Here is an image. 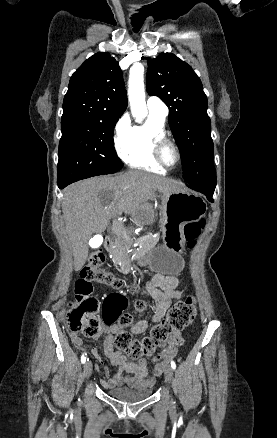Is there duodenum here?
I'll return each instance as SVG.
<instances>
[{
	"instance_id": "1",
	"label": "duodenum",
	"mask_w": 277,
	"mask_h": 438,
	"mask_svg": "<svg viewBox=\"0 0 277 438\" xmlns=\"http://www.w3.org/2000/svg\"><path fill=\"white\" fill-rule=\"evenodd\" d=\"M103 248L105 251L109 252L113 249V241L110 238H106L103 243Z\"/></svg>"
}]
</instances>
